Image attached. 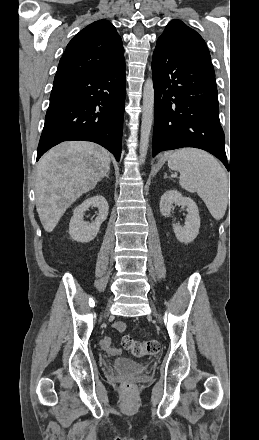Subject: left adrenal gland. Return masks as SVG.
I'll return each mask as SVG.
<instances>
[{
  "label": "left adrenal gland",
  "instance_id": "left-adrenal-gland-1",
  "mask_svg": "<svg viewBox=\"0 0 259 440\" xmlns=\"http://www.w3.org/2000/svg\"><path fill=\"white\" fill-rule=\"evenodd\" d=\"M164 178L172 179L171 177H168L167 173H164Z\"/></svg>",
  "mask_w": 259,
  "mask_h": 440
}]
</instances>
